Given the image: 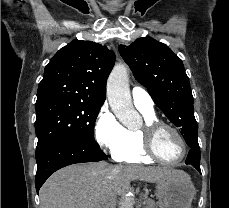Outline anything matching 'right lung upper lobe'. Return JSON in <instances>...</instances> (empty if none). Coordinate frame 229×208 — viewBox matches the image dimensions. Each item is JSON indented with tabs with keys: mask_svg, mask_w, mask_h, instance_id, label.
Wrapping results in <instances>:
<instances>
[{
	"mask_svg": "<svg viewBox=\"0 0 229 208\" xmlns=\"http://www.w3.org/2000/svg\"><path fill=\"white\" fill-rule=\"evenodd\" d=\"M114 62V52L106 46L73 40L61 48L45 67L37 102L49 98H70L101 108Z\"/></svg>",
	"mask_w": 229,
	"mask_h": 208,
	"instance_id": "cb5924a9",
	"label": "right lung upper lobe"
}]
</instances>
